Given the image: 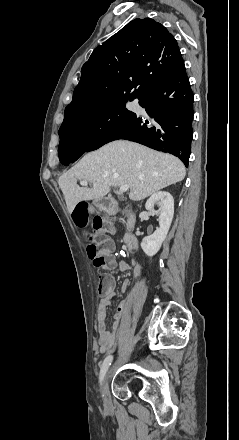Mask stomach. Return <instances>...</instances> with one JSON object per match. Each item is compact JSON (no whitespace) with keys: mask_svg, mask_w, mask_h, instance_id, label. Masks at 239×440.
Wrapping results in <instances>:
<instances>
[{"mask_svg":"<svg viewBox=\"0 0 239 440\" xmlns=\"http://www.w3.org/2000/svg\"><path fill=\"white\" fill-rule=\"evenodd\" d=\"M95 208H100L99 200H93L92 204H90L88 208L89 214H93Z\"/></svg>","mask_w":239,"mask_h":440,"instance_id":"obj_1","label":"stomach"}]
</instances>
